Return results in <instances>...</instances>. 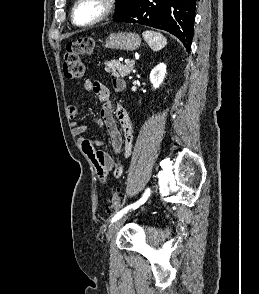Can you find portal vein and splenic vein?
Wrapping results in <instances>:
<instances>
[{
	"instance_id": "portal-vein-and-splenic-vein-1",
	"label": "portal vein and splenic vein",
	"mask_w": 259,
	"mask_h": 294,
	"mask_svg": "<svg viewBox=\"0 0 259 294\" xmlns=\"http://www.w3.org/2000/svg\"><path fill=\"white\" fill-rule=\"evenodd\" d=\"M125 64H130V60L129 59H126L125 60Z\"/></svg>"
}]
</instances>
